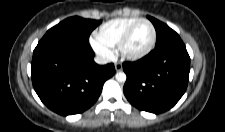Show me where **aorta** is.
Returning a JSON list of instances; mask_svg holds the SVG:
<instances>
[{"mask_svg":"<svg viewBox=\"0 0 225 132\" xmlns=\"http://www.w3.org/2000/svg\"><path fill=\"white\" fill-rule=\"evenodd\" d=\"M126 74L124 73V72H118L117 74H116V80L118 81V82H125L126 81Z\"/></svg>","mask_w":225,"mask_h":132,"instance_id":"762f6f07","label":"aorta"}]
</instances>
